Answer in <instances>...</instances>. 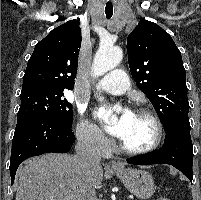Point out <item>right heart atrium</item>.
<instances>
[{
	"mask_svg": "<svg viewBox=\"0 0 201 200\" xmlns=\"http://www.w3.org/2000/svg\"><path fill=\"white\" fill-rule=\"evenodd\" d=\"M76 137L84 148L100 155L107 154L110 148V140L95 124L83 117L77 124Z\"/></svg>",
	"mask_w": 201,
	"mask_h": 200,
	"instance_id": "d8ad5b80",
	"label": "right heart atrium"
}]
</instances>
